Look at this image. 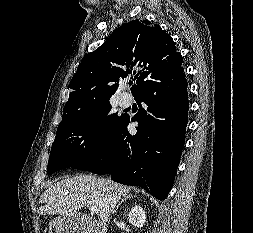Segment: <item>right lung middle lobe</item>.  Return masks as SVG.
I'll return each mask as SVG.
<instances>
[{"label": "right lung middle lobe", "mask_w": 253, "mask_h": 233, "mask_svg": "<svg viewBox=\"0 0 253 233\" xmlns=\"http://www.w3.org/2000/svg\"><path fill=\"white\" fill-rule=\"evenodd\" d=\"M109 101L92 105L62 119L48 162V174L98 154L109 142L124 115L109 114Z\"/></svg>", "instance_id": "dd1d6c3e"}]
</instances>
